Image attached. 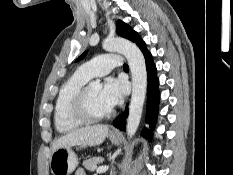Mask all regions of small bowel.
Wrapping results in <instances>:
<instances>
[{
    "mask_svg": "<svg viewBox=\"0 0 233 175\" xmlns=\"http://www.w3.org/2000/svg\"><path fill=\"white\" fill-rule=\"evenodd\" d=\"M74 175H86V173L82 168H79L74 172Z\"/></svg>",
    "mask_w": 233,
    "mask_h": 175,
    "instance_id": "obj_1",
    "label": "small bowel"
}]
</instances>
